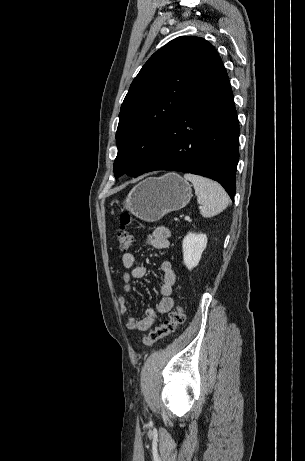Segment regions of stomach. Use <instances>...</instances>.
Returning a JSON list of instances; mask_svg holds the SVG:
<instances>
[{"label": "stomach", "mask_w": 305, "mask_h": 461, "mask_svg": "<svg viewBox=\"0 0 305 461\" xmlns=\"http://www.w3.org/2000/svg\"><path fill=\"white\" fill-rule=\"evenodd\" d=\"M191 197V185L179 174L167 173L139 182L129 192L123 207L141 220L154 222L184 208Z\"/></svg>", "instance_id": "stomach-1"}]
</instances>
